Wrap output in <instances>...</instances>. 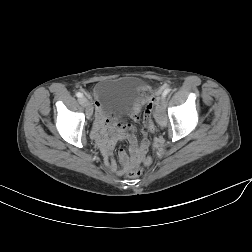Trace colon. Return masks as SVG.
I'll return each mask as SVG.
<instances>
[{"instance_id": "1", "label": "colon", "mask_w": 252, "mask_h": 252, "mask_svg": "<svg viewBox=\"0 0 252 252\" xmlns=\"http://www.w3.org/2000/svg\"><path fill=\"white\" fill-rule=\"evenodd\" d=\"M153 100L150 99L148 101V104L146 106L145 112H144V123L146 125H152V109H153ZM143 173V167L138 165L135 167H132L128 169L127 176L130 178H136L139 177Z\"/></svg>"}]
</instances>
